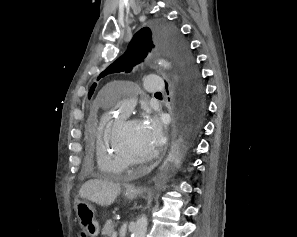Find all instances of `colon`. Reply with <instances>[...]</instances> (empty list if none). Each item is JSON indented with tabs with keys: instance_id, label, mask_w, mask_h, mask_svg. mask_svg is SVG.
Returning <instances> with one entry per match:
<instances>
[{
	"instance_id": "colon-1",
	"label": "colon",
	"mask_w": 297,
	"mask_h": 237,
	"mask_svg": "<svg viewBox=\"0 0 297 237\" xmlns=\"http://www.w3.org/2000/svg\"><path fill=\"white\" fill-rule=\"evenodd\" d=\"M76 237H87V235L84 232H78Z\"/></svg>"
}]
</instances>
